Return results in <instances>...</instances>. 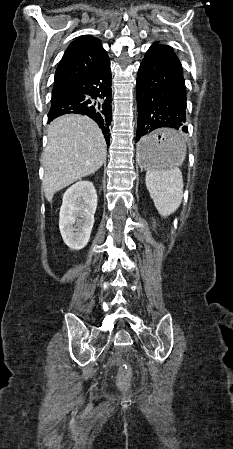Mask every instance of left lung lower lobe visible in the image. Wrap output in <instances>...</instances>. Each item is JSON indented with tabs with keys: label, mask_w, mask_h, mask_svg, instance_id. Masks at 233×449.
<instances>
[{
	"label": "left lung lower lobe",
	"mask_w": 233,
	"mask_h": 449,
	"mask_svg": "<svg viewBox=\"0 0 233 449\" xmlns=\"http://www.w3.org/2000/svg\"><path fill=\"white\" fill-rule=\"evenodd\" d=\"M137 141L145 150H159L179 143V136L161 134L158 128L188 132L186 122V87L181 64L149 48L139 67L137 83Z\"/></svg>",
	"instance_id": "left-lung-lower-lobe-1"
}]
</instances>
